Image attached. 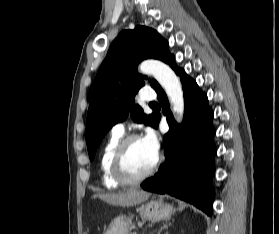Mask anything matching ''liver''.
Returning <instances> with one entry per match:
<instances>
[{
  "mask_svg": "<svg viewBox=\"0 0 279 234\" xmlns=\"http://www.w3.org/2000/svg\"><path fill=\"white\" fill-rule=\"evenodd\" d=\"M149 196L150 193L145 191L129 190L121 193L96 194L93 198H99L114 206L130 207L144 202Z\"/></svg>",
  "mask_w": 279,
  "mask_h": 234,
  "instance_id": "liver-1",
  "label": "liver"
}]
</instances>
